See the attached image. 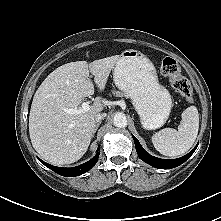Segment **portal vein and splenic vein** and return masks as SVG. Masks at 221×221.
<instances>
[{
	"label": "portal vein and splenic vein",
	"instance_id": "18ae733b",
	"mask_svg": "<svg viewBox=\"0 0 221 221\" xmlns=\"http://www.w3.org/2000/svg\"><path fill=\"white\" fill-rule=\"evenodd\" d=\"M91 109L89 102H83L80 108H70L66 109L65 112L72 115H78L84 112H87Z\"/></svg>",
	"mask_w": 221,
	"mask_h": 221
}]
</instances>
